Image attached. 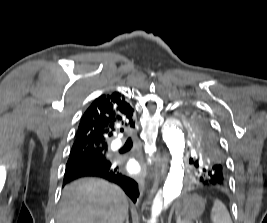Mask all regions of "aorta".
Returning a JSON list of instances; mask_svg holds the SVG:
<instances>
[{
	"label": "aorta",
	"mask_w": 267,
	"mask_h": 223,
	"mask_svg": "<svg viewBox=\"0 0 267 223\" xmlns=\"http://www.w3.org/2000/svg\"><path fill=\"white\" fill-rule=\"evenodd\" d=\"M162 137L170 151L171 162L165 184L153 199L152 220L154 222L160 212L180 196L184 180L185 139L180 121L176 118L168 119L162 129Z\"/></svg>",
	"instance_id": "762f6f07"
}]
</instances>
